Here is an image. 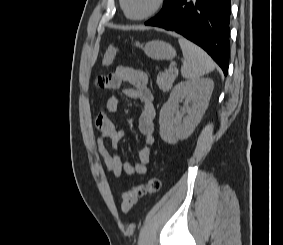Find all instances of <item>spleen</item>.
<instances>
[{"instance_id":"obj_1","label":"spleen","mask_w":283,"mask_h":245,"mask_svg":"<svg viewBox=\"0 0 283 245\" xmlns=\"http://www.w3.org/2000/svg\"><path fill=\"white\" fill-rule=\"evenodd\" d=\"M178 41L184 56L181 74L185 79L198 80L214 70V62L203 49L184 37H179Z\"/></svg>"}]
</instances>
